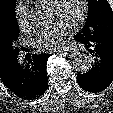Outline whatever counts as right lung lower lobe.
<instances>
[{"mask_svg": "<svg viewBox=\"0 0 113 113\" xmlns=\"http://www.w3.org/2000/svg\"><path fill=\"white\" fill-rule=\"evenodd\" d=\"M51 54H34L27 62L15 57L5 68L2 81L16 96L33 100L43 95L48 86L46 63Z\"/></svg>", "mask_w": 113, "mask_h": 113, "instance_id": "obj_1", "label": "right lung lower lobe"}]
</instances>
